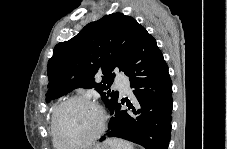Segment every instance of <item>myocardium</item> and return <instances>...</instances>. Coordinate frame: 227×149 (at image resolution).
Segmentation results:
<instances>
[{"label": "myocardium", "instance_id": "1", "mask_svg": "<svg viewBox=\"0 0 227 149\" xmlns=\"http://www.w3.org/2000/svg\"><path fill=\"white\" fill-rule=\"evenodd\" d=\"M75 102L88 103L94 106L99 113L100 121L96 130L88 138L77 142H65L62 140L59 134L58 119L62 110L67 105ZM105 126H106V113L104 109L101 107V105L98 102L85 96H73L64 100L56 107L52 117V129H53V135H54L55 141L59 146H64V147H83V146L92 145L102 135V133L105 130Z\"/></svg>", "mask_w": 227, "mask_h": 149}]
</instances>
